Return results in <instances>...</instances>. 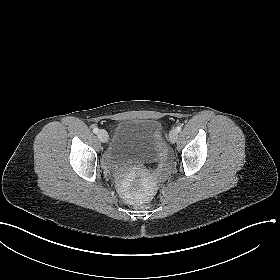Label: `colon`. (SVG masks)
Listing matches in <instances>:
<instances>
[{
  "label": "colon",
  "mask_w": 280,
  "mask_h": 280,
  "mask_svg": "<svg viewBox=\"0 0 280 280\" xmlns=\"http://www.w3.org/2000/svg\"><path fill=\"white\" fill-rule=\"evenodd\" d=\"M151 206V203H144L141 205L142 208H148Z\"/></svg>",
  "instance_id": "1"
}]
</instances>
